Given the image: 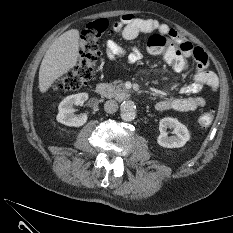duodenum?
Here are the masks:
<instances>
[{"mask_svg": "<svg viewBox=\"0 0 233 233\" xmlns=\"http://www.w3.org/2000/svg\"><path fill=\"white\" fill-rule=\"evenodd\" d=\"M96 92L98 95H100L103 98H111L114 96V90L111 86H109L106 83H99L96 85ZM120 95L127 99L129 97V94L125 91L120 92Z\"/></svg>", "mask_w": 233, "mask_h": 233, "instance_id": "duodenum-1", "label": "duodenum"}]
</instances>
